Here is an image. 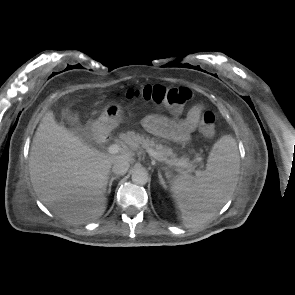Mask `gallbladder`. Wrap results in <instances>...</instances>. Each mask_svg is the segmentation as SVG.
Returning <instances> with one entry per match:
<instances>
[{"instance_id":"gallbladder-1","label":"gallbladder","mask_w":295,"mask_h":295,"mask_svg":"<svg viewBox=\"0 0 295 295\" xmlns=\"http://www.w3.org/2000/svg\"><path fill=\"white\" fill-rule=\"evenodd\" d=\"M62 115H63L64 118L67 119V121H68L70 124H73V123H76V122H77V117L71 115V113H70L68 110H63V111H62Z\"/></svg>"}]
</instances>
